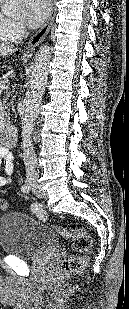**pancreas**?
<instances>
[{
	"label": "pancreas",
	"mask_w": 129,
	"mask_h": 309,
	"mask_svg": "<svg viewBox=\"0 0 129 309\" xmlns=\"http://www.w3.org/2000/svg\"><path fill=\"white\" fill-rule=\"evenodd\" d=\"M2 83H6L7 84V82H6V79H3L2 77H0V84H2ZM2 88L0 87V90H1ZM5 89V88H4ZM7 108H3V109H0V119H2L1 121H0V128H2V127H4V126H6V124H7V121L9 120V113L7 112V111H5ZM2 117V118H1Z\"/></svg>",
	"instance_id": "pancreas-1"
}]
</instances>
